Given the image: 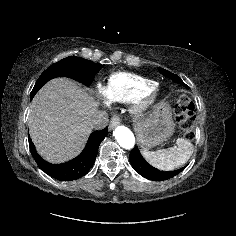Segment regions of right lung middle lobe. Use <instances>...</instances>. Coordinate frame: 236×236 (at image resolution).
<instances>
[{
	"mask_svg": "<svg viewBox=\"0 0 236 236\" xmlns=\"http://www.w3.org/2000/svg\"><path fill=\"white\" fill-rule=\"evenodd\" d=\"M102 68L101 64L80 57H67L51 65L45 70L35 83L31 98L49 80L56 77H69L89 86L96 73Z\"/></svg>",
	"mask_w": 236,
	"mask_h": 236,
	"instance_id": "1",
	"label": "right lung middle lobe"
}]
</instances>
